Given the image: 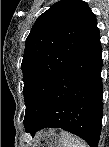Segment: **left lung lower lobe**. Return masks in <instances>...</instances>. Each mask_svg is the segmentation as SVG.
<instances>
[{
  "mask_svg": "<svg viewBox=\"0 0 109 147\" xmlns=\"http://www.w3.org/2000/svg\"><path fill=\"white\" fill-rule=\"evenodd\" d=\"M99 29L60 71L38 120L26 132L62 128L97 147L103 114Z\"/></svg>",
  "mask_w": 109,
  "mask_h": 147,
  "instance_id": "obj_1",
  "label": "left lung lower lobe"
}]
</instances>
